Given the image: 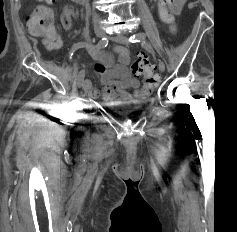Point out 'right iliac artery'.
I'll return each mask as SVG.
<instances>
[{
  "label": "right iliac artery",
  "mask_w": 237,
  "mask_h": 232,
  "mask_svg": "<svg viewBox=\"0 0 237 232\" xmlns=\"http://www.w3.org/2000/svg\"><path fill=\"white\" fill-rule=\"evenodd\" d=\"M107 45H108V39L104 37L96 44L95 48L99 50V49L105 48ZM89 46L90 44L88 42H77L73 44L69 52V60L72 61V56L77 49L83 48V47L87 48Z\"/></svg>",
  "instance_id": "right-iliac-artery-1"
}]
</instances>
